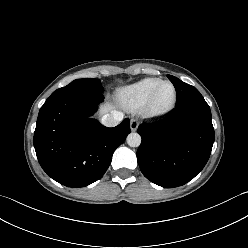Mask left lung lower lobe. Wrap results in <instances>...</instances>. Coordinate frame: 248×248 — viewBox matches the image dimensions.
I'll return each mask as SVG.
<instances>
[{"instance_id": "obj_1", "label": "left lung lower lobe", "mask_w": 248, "mask_h": 248, "mask_svg": "<svg viewBox=\"0 0 248 248\" xmlns=\"http://www.w3.org/2000/svg\"><path fill=\"white\" fill-rule=\"evenodd\" d=\"M141 172L151 182L174 188L192 180L207 163L214 143L211 111L204 98L176 106L164 119L140 125Z\"/></svg>"}]
</instances>
